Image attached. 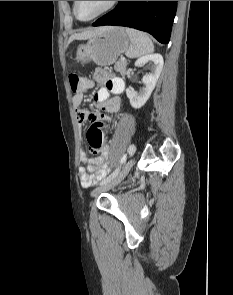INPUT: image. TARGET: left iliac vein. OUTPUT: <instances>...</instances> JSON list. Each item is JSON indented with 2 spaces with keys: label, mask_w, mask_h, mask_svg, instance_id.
<instances>
[{
  "label": "left iliac vein",
  "mask_w": 233,
  "mask_h": 295,
  "mask_svg": "<svg viewBox=\"0 0 233 295\" xmlns=\"http://www.w3.org/2000/svg\"><path fill=\"white\" fill-rule=\"evenodd\" d=\"M133 164H134L133 159L128 160L127 163L122 168V170L120 171V173L117 174V176L115 178H113L112 180H110L106 184L100 185L97 188H95L92 191L91 196L92 197H97L101 193H103L105 191H108L111 188L115 187L117 184H119L127 176V174L130 172L131 168L133 167Z\"/></svg>",
  "instance_id": "1"
}]
</instances>
